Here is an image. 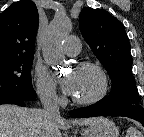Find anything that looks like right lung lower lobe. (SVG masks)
Wrapping results in <instances>:
<instances>
[{"instance_id": "98d812e1", "label": "right lung lower lobe", "mask_w": 144, "mask_h": 137, "mask_svg": "<svg viewBox=\"0 0 144 137\" xmlns=\"http://www.w3.org/2000/svg\"><path fill=\"white\" fill-rule=\"evenodd\" d=\"M0 104H15L19 106H25L22 99L15 97H0Z\"/></svg>"}]
</instances>
